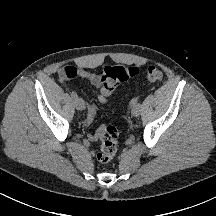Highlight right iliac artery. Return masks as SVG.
Masks as SVG:
<instances>
[{
    "label": "right iliac artery",
    "instance_id": "obj_1",
    "mask_svg": "<svg viewBox=\"0 0 216 216\" xmlns=\"http://www.w3.org/2000/svg\"><path fill=\"white\" fill-rule=\"evenodd\" d=\"M71 96H72L73 99H76V98H77V94H76L75 92H72V93H71Z\"/></svg>",
    "mask_w": 216,
    "mask_h": 216
}]
</instances>
